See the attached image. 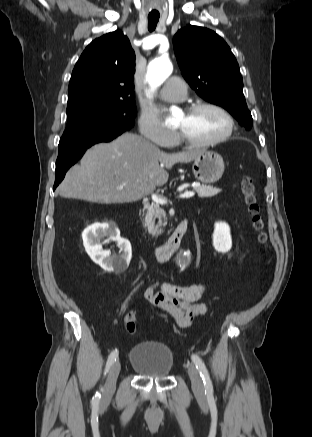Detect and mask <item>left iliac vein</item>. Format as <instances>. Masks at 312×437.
<instances>
[{"label": "left iliac vein", "mask_w": 312, "mask_h": 437, "mask_svg": "<svg viewBox=\"0 0 312 437\" xmlns=\"http://www.w3.org/2000/svg\"><path fill=\"white\" fill-rule=\"evenodd\" d=\"M187 370L194 394L199 398H204V386L199 371L192 363L187 364Z\"/></svg>", "instance_id": "1"}]
</instances>
